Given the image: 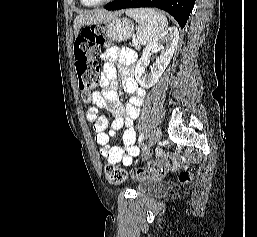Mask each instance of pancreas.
Here are the masks:
<instances>
[{"instance_id":"cf45deb5","label":"pancreas","mask_w":257,"mask_h":237,"mask_svg":"<svg viewBox=\"0 0 257 237\" xmlns=\"http://www.w3.org/2000/svg\"><path fill=\"white\" fill-rule=\"evenodd\" d=\"M134 47L137 49V50H139L140 49V45H134Z\"/></svg>"}]
</instances>
